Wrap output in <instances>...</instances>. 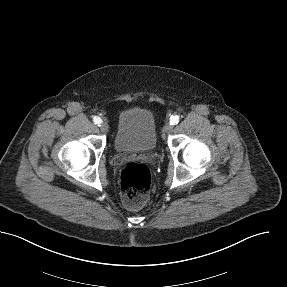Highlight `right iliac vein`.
Returning a JSON list of instances; mask_svg holds the SVG:
<instances>
[{"label": "right iliac vein", "instance_id": "63e3f726", "mask_svg": "<svg viewBox=\"0 0 287 287\" xmlns=\"http://www.w3.org/2000/svg\"><path fill=\"white\" fill-rule=\"evenodd\" d=\"M100 129L102 132H108L109 130V126L106 122H102L101 125H100Z\"/></svg>", "mask_w": 287, "mask_h": 287}]
</instances>
